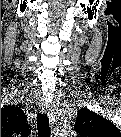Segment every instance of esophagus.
<instances>
[{"label": "esophagus", "instance_id": "obj_1", "mask_svg": "<svg viewBox=\"0 0 121 137\" xmlns=\"http://www.w3.org/2000/svg\"><path fill=\"white\" fill-rule=\"evenodd\" d=\"M41 108H42V111H46L47 104L43 102ZM49 119H50L51 124H53V120L51 119V116H49Z\"/></svg>", "mask_w": 121, "mask_h": 137}]
</instances>
